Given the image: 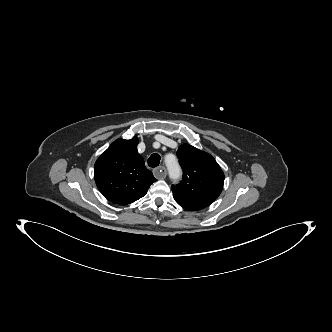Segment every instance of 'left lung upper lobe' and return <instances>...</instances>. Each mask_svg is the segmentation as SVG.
Returning a JSON list of instances; mask_svg holds the SVG:
<instances>
[{"instance_id":"5c2ea615","label":"left lung upper lobe","mask_w":332,"mask_h":332,"mask_svg":"<svg viewBox=\"0 0 332 332\" xmlns=\"http://www.w3.org/2000/svg\"><path fill=\"white\" fill-rule=\"evenodd\" d=\"M177 156L183 178L171 186L175 201L189 211L209 206L223 188L224 173L220 166L210 154L189 144L181 145Z\"/></svg>"}]
</instances>
